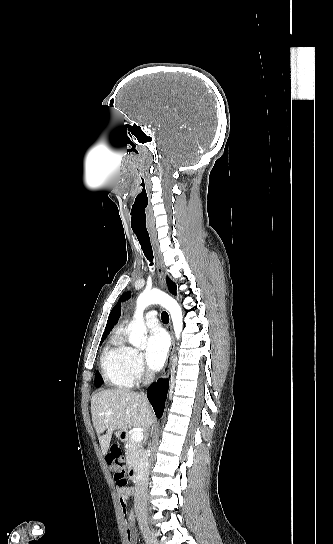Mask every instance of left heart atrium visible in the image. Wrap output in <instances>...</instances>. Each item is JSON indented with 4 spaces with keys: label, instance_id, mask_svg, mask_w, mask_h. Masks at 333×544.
<instances>
[{
    "label": "left heart atrium",
    "instance_id": "obj_1",
    "mask_svg": "<svg viewBox=\"0 0 333 544\" xmlns=\"http://www.w3.org/2000/svg\"><path fill=\"white\" fill-rule=\"evenodd\" d=\"M168 349L169 339L164 332L157 330L148 337L145 358L152 370H159L163 366Z\"/></svg>",
    "mask_w": 333,
    "mask_h": 544
}]
</instances>
